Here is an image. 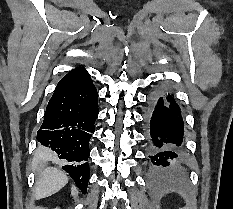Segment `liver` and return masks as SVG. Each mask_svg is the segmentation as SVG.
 Listing matches in <instances>:
<instances>
[{
  "mask_svg": "<svg viewBox=\"0 0 233 209\" xmlns=\"http://www.w3.org/2000/svg\"><path fill=\"white\" fill-rule=\"evenodd\" d=\"M68 180L67 174L63 171L52 167L42 168L35 185V198L42 199L55 194L67 184Z\"/></svg>",
  "mask_w": 233,
  "mask_h": 209,
  "instance_id": "obj_1",
  "label": "liver"
}]
</instances>
